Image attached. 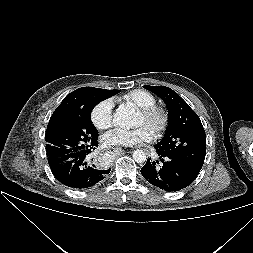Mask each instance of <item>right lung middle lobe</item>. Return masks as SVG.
I'll list each match as a JSON object with an SVG mask.
<instances>
[{"mask_svg":"<svg viewBox=\"0 0 253 253\" xmlns=\"http://www.w3.org/2000/svg\"><path fill=\"white\" fill-rule=\"evenodd\" d=\"M119 93L94 87H82L69 100L67 107L54 112L47 126L45 140L48 157H61L90 147L98 131L90 114L101 101Z\"/></svg>","mask_w":253,"mask_h":253,"instance_id":"right-lung-middle-lobe-1","label":"right lung middle lobe"}]
</instances>
